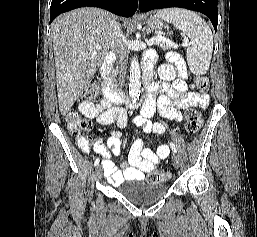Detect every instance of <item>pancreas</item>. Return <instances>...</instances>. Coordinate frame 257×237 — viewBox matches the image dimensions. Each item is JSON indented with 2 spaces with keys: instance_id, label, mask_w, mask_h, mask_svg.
Listing matches in <instances>:
<instances>
[{
  "instance_id": "1",
  "label": "pancreas",
  "mask_w": 257,
  "mask_h": 237,
  "mask_svg": "<svg viewBox=\"0 0 257 237\" xmlns=\"http://www.w3.org/2000/svg\"><path fill=\"white\" fill-rule=\"evenodd\" d=\"M155 45L159 46L160 48H162V49H164V50L171 48V47L168 46L166 43L160 42V41L155 42Z\"/></svg>"
}]
</instances>
